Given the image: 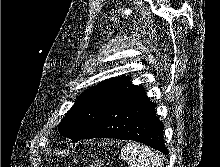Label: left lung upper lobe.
Returning <instances> with one entry per match:
<instances>
[{
    "label": "left lung upper lobe",
    "mask_w": 220,
    "mask_h": 167,
    "mask_svg": "<svg viewBox=\"0 0 220 167\" xmlns=\"http://www.w3.org/2000/svg\"><path fill=\"white\" fill-rule=\"evenodd\" d=\"M130 84L128 78L118 77L86 90L60 122V134L73 142L80 140L109 104Z\"/></svg>",
    "instance_id": "5c2ea615"
}]
</instances>
